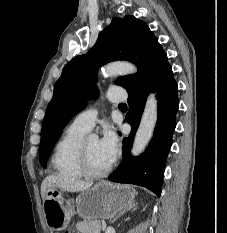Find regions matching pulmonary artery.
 I'll return each instance as SVG.
<instances>
[{
    "instance_id": "obj_1",
    "label": "pulmonary artery",
    "mask_w": 227,
    "mask_h": 233,
    "mask_svg": "<svg viewBox=\"0 0 227 233\" xmlns=\"http://www.w3.org/2000/svg\"><path fill=\"white\" fill-rule=\"evenodd\" d=\"M106 98L111 102H118L125 99V93L122 90H111L107 93ZM97 106L89 107L79 113L73 120L72 126L83 131H90L97 120Z\"/></svg>"
}]
</instances>
